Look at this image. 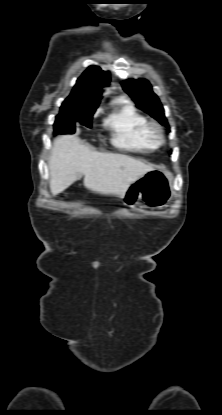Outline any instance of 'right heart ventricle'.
Segmentation results:
<instances>
[{"label":"right heart ventricle","instance_id":"1","mask_svg":"<svg viewBox=\"0 0 222 415\" xmlns=\"http://www.w3.org/2000/svg\"><path fill=\"white\" fill-rule=\"evenodd\" d=\"M146 125V118L127 101H123L104 120V126L112 134V142L122 149L136 152H148L156 148L146 135Z\"/></svg>","mask_w":222,"mask_h":415}]
</instances>
